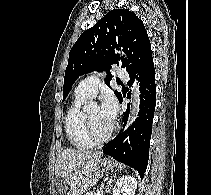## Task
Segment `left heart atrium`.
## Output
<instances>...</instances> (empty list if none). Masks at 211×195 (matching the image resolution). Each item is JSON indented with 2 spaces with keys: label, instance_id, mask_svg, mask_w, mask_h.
<instances>
[{
  "label": "left heart atrium",
  "instance_id": "obj_1",
  "mask_svg": "<svg viewBox=\"0 0 211 195\" xmlns=\"http://www.w3.org/2000/svg\"><path fill=\"white\" fill-rule=\"evenodd\" d=\"M100 112L108 122L114 123L118 112V105L112 95L106 94L103 96Z\"/></svg>",
  "mask_w": 211,
  "mask_h": 195
}]
</instances>
